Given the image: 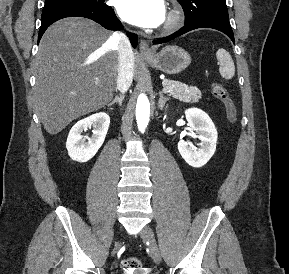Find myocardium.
<instances>
[{
	"mask_svg": "<svg viewBox=\"0 0 289 274\" xmlns=\"http://www.w3.org/2000/svg\"><path fill=\"white\" fill-rule=\"evenodd\" d=\"M183 21V13L181 9L177 6H172L167 12L166 19L161 28L163 33H172L177 30Z\"/></svg>",
	"mask_w": 289,
	"mask_h": 274,
	"instance_id": "f54148a6",
	"label": "myocardium"
}]
</instances>
